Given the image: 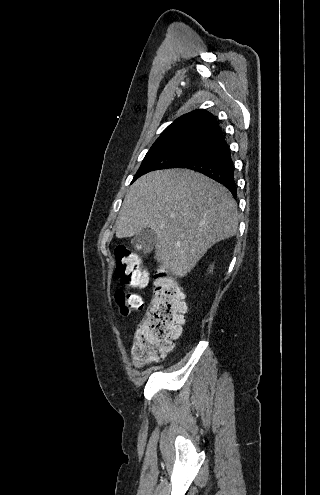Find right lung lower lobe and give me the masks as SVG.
Here are the masks:
<instances>
[{
  "instance_id": "right-lung-lower-lobe-1",
  "label": "right lung lower lobe",
  "mask_w": 320,
  "mask_h": 495,
  "mask_svg": "<svg viewBox=\"0 0 320 495\" xmlns=\"http://www.w3.org/2000/svg\"><path fill=\"white\" fill-rule=\"evenodd\" d=\"M176 168L200 172L223 184L235 198L237 196L231 151L222 132L207 140L187 161Z\"/></svg>"
}]
</instances>
